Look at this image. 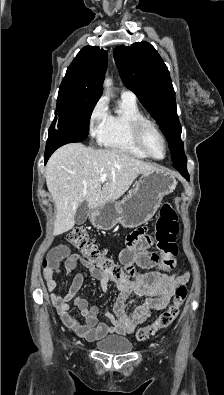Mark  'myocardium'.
<instances>
[{"label":"myocardium","mask_w":224,"mask_h":395,"mask_svg":"<svg viewBox=\"0 0 224 395\" xmlns=\"http://www.w3.org/2000/svg\"><path fill=\"white\" fill-rule=\"evenodd\" d=\"M148 129L153 130L161 138L163 142L164 155L161 158H157L154 155H152L147 148L145 142V134ZM131 130L135 144L147 155V157L152 158L154 160H162L166 157L168 150L167 140L155 122L145 117L140 118L133 122Z\"/></svg>","instance_id":"obj_1"}]
</instances>
